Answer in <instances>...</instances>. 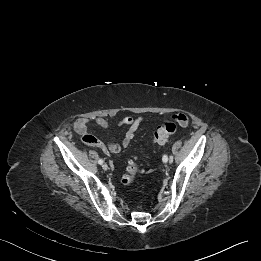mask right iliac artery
<instances>
[{"label": "right iliac artery", "mask_w": 261, "mask_h": 261, "mask_svg": "<svg viewBox=\"0 0 261 261\" xmlns=\"http://www.w3.org/2000/svg\"><path fill=\"white\" fill-rule=\"evenodd\" d=\"M103 162H104V161H103L102 159H99V160H98V163H99L100 165L103 164Z\"/></svg>", "instance_id": "right-iliac-artery-1"}]
</instances>
